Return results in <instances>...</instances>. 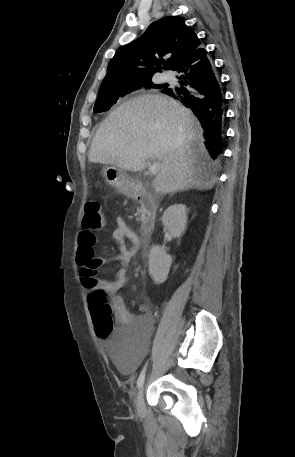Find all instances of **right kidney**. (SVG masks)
<instances>
[{"label": "right kidney", "instance_id": "right-kidney-1", "mask_svg": "<svg viewBox=\"0 0 295 457\" xmlns=\"http://www.w3.org/2000/svg\"><path fill=\"white\" fill-rule=\"evenodd\" d=\"M162 223L174 238H179L186 229L187 209L183 204H174L166 209ZM172 264V257L159 246L154 245L149 254V274L155 283L167 280Z\"/></svg>", "mask_w": 295, "mask_h": 457}]
</instances>
